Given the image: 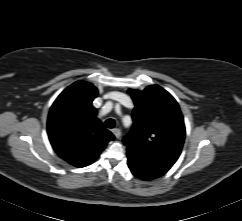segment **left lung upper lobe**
Segmentation results:
<instances>
[{
  "label": "left lung upper lobe",
  "instance_id": "1",
  "mask_svg": "<svg viewBox=\"0 0 242 221\" xmlns=\"http://www.w3.org/2000/svg\"><path fill=\"white\" fill-rule=\"evenodd\" d=\"M134 101L133 127L123 139L127 152L172 166L185 139V125L173 96L158 85L129 90Z\"/></svg>",
  "mask_w": 242,
  "mask_h": 221
}]
</instances>
